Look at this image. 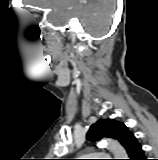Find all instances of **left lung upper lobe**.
I'll list each match as a JSON object with an SVG mask.
<instances>
[{
	"label": "left lung upper lobe",
	"instance_id": "5c2ea615",
	"mask_svg": "<svg viewBox=\"0 0 158 160\" xmlns=\"http://www.w3.org/2000/svg\"><path fill=\"white\" fill-rule=\"evenodd\" d=\"M130 134L131 132L123 123L112 119H100L90 127L87 139L97 141L108 137L118 140L124 146Z\"/></svg>",
	"mask_w": 158,
	"mask_h": 160
}]
</instances>
